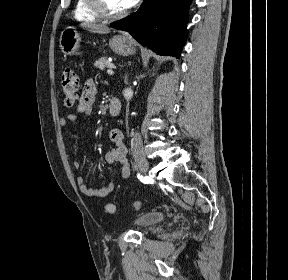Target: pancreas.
<instances>
[{
	"instance_id": "1",
	"label": "pancreas",
	"mask_w": 288,
	"mask_h": 280,
	"mask_svg": "<svg viewBox=\"0 0 288 280\" xmlns=\"http://www.w3.org/2000/svg\"><path fill=\"white\" fill-rule=\"evenodd\" d=\"M95 67L103 70L105 67L114 66L106 57H101L98 61L94 63Z\"/></svg>"
}]
</instances>
